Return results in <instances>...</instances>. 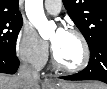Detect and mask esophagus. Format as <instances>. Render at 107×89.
Returning <instances> with one entry per match:
<instances>
[{"label": "esophagus", "instance_id": "esophagus-1", "mask_svg": "<svg viewBox=\"0 0 107 89\" xmlns=\"http://www.w3.org/2000/svg\"><path fill=\"white\" fill-rule=\"evenodd\" d=\"M43 83L46 84V85L47 84H52V81L48 78H45Z\"/></svg>", "mask_w": 107, "mask_h": 89}]
</instances>
